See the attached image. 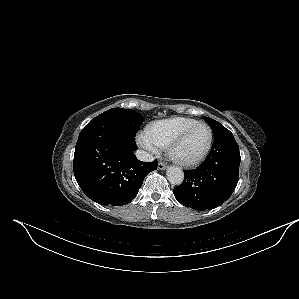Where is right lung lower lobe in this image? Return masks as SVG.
I'll list each match as a JSON object with an SVG mask.
<instances>
[{"label": "right lung lower lobe", "mask_w": 299, "mask_h": 299, "mask_svg": "<svg viewBox=\"0 0 299 299\" xmlns=\"http://www.w3.org/2000/svg\"><path fill=\"white\" fill-rule=\"evenodd\" d=\"M135 134L108 119L94 118L80 132L74 175L82 191L101 205L121 206L137 195L157 161H139Z\"/></svg>", "instance_id": "right-lung-lower-lobe-1"}]
</instances>
